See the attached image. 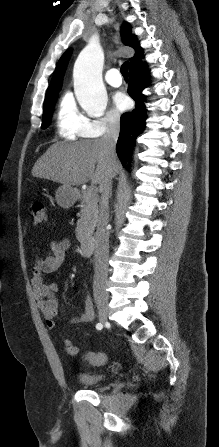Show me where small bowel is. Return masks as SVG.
Here are the masks:
<instances>
[{"label": "small bowel", "mask_w": 219, "mask_h": 447, "mask_svg": "<svg viewBox=\"0 0 219 447\" xmlns=\"http://www.w3.org/2000/svg\"><path fill=\"white\" fill-rule=\"evenodd\" d=\"M69 247L70 244L66 238L53 240L48 253L44 256H37L31 268L33 295L49 329L57 327L56 317L59 315V308L56 297L58 284L56 281L49 280L48 277L59 270ZM94 318L93 302L87 296L82 313L75 316L71 323H90Z\"/></svg>", "instance_id": "small-bowel-1"}]
</instances>
